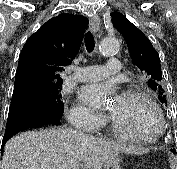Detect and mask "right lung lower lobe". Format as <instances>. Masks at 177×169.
Masks as SVG:
<instances>
[{"label": "right lung lower lobe", "instance_id": "right-lung-lower-lobe-1", "mask_svg": "<svg viewBox=\"0 0 177 169\" xmlns=\"http://www.w3.org/2000/svg\"><path fill=\"white\" fill-rule=\"evenodd\" d=\"M28 82L20 81L14 84V92L18 94ZM62 111L51 109L48 106H41L30 102L11 104L2 146L17 132L29 128L41 127L46 125H59Z\"/></svg>", "mask_w": 177, "mask_h": 169}]
</instances>
